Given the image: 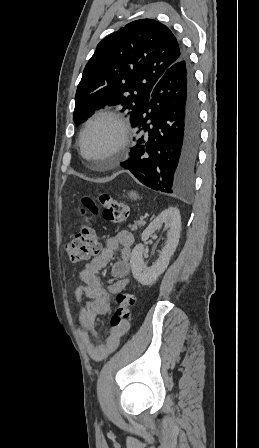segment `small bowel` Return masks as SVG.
<instances>
[{
  "label": "small bowel",
  "mask_w": 259,
  "mask_h": 448,
  "mask_svg": "<svg viewBox=\"0 0 259 448\" xmlns=\"http://www.w3.org/2000/svg\"><path fill=\"white\" fill-rule=\"evenodd\" d=\"M133 242V235L129 231H120L107 238L100 252L79 273L82 284L75 291V301L79 304V322L83 328L79 335L89 356L95 361H102L113 353L121 337L130 328L128 321L117 327L112 326L102 341L96 329V318L110 312V295L122 292L129 284ZM117 250L120 257L111 267L114 282L105 287L99 272L112 261ZM84 298L87 299L85 303Z\"/></svg>",
  "instance_id": "obj_1"
}]
</instances>
